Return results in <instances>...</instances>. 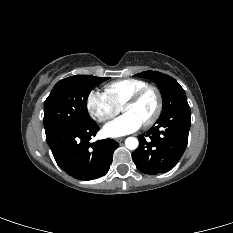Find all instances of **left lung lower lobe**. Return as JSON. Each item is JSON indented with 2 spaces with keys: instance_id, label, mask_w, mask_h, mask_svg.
<instances>
[{
  "instance_id": "1",
  "label": "left lung lower lobe",
  "mask_w": 233,
  "mask_h": 233,
  "mask_svg": "<svg viewBox=\"0 0 233 233\" xmlns=\"http://www.w3.org/2000/svg\"><path fill=\"white\" fill-rule=\"evenodd\" d=\"M191 125L187 102L160 115L155 125L139 137V147L132 157L139 171L145 174L165 173L182 157Z\"/></svg>"
}]
</instances>
